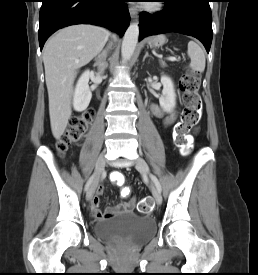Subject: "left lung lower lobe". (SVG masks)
I'll return each instance as SVG.
<instances>
[{
	"label": "left lung lower lobe",
	"instance_id": "0a47b994",
	"mask_svg": "<svg viewBox=\"0 0 258 275\" xmlns=\"http://www.w3.org/2000/svg\"><path fill=\"white\" fill-rule=\"evenodd\" d=\"M157 14H140L139 40L149 35L177 32L199 39L209 53L213 31L209 0H164Z\"/></svg>",
	"mask_w": 258,
	"mask_h": 275
}]
</instances>
